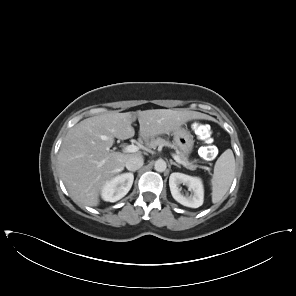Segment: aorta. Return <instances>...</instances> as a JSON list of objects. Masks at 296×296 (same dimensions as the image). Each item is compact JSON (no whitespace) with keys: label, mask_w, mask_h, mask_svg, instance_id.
<instances>
[{"label":"aorta","mask_w":296,"mask_h":296,"mask_svg":"<svg viewBox=\"0 0 296 296\" xmlns=\"http://www.w3.org/2000/svg\"><path fill=\"white\" fill-rule=\"evenodd\" d=\"M166 168H167V164L163 159H158L155 162L154 169L157 172H164L166 170Z\"/></svg>","instance_id":"aorta-1"}]
</instances>
